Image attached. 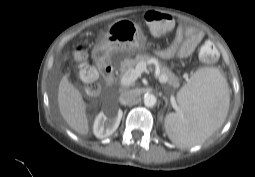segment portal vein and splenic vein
I'll return each mask as SVG.
<instances>
[{"label": "portal vein and splenic vein", "instance_id": "obj_1", "mask_svg": "<svg viewBox=\"0 0 255 177\" xmlns=\"http://www.w3.org/2000/svg\"><path fill=\"white\" fill-rule=\"evenodd\" d=\"M146 70V63L145 62H139L135 68L129 70L127 73H125L120 80L121 85L123 86H130L132 85L138 77L141 76V74ZM160 82H165L166 78L160 77L159 78ZM173 107L175 110L179 111V107L177 106L176 103L173 104Z\"/></svg>", "mask_w": 255, "mask_h": 177}]
</instances>
